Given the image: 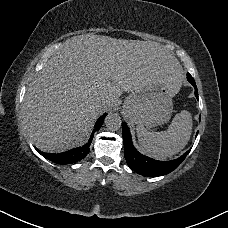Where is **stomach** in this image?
I'll return each instance as SVG.
<instances>
[{
    "instance_id": "0dacf381",
    "label": "stomach",
    "mask_w": 228,
    "mask_h": 228,
    "mask_svg": "<svg viewBox=\"0 0 228 228\" xmlns=\"http://www.w3.org/2000/svg\"><path fill=\"white\" fill-rule=\"evenodd\" d=\"M173 94L162 82H152L138 92H132L122 110L137 124L147 129L167 123L172 115Z\"/></svg>"
}]
</instances>
